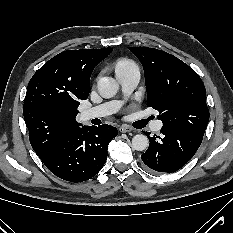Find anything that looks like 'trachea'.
Wrapping results in <instances>:
<instances>
[{
  "label": "trachea",
  "instance_id": "1",
  "mask_svg": "<svg viewBox=\"0 0 233 233\" xmlns=\"http://www.w3.org/2000/svg\"><path fill=\"white\" fill-rule=\"evenodd\" d=\"M151 119H152L151 117H149L148 119H145L144 123L147 124Z\"/></svg>",
  "mask_w": 233,
  "mask_h": 233
}]
</instances>
